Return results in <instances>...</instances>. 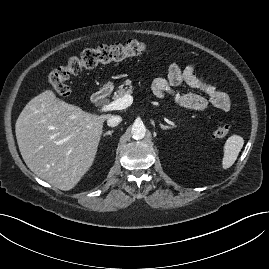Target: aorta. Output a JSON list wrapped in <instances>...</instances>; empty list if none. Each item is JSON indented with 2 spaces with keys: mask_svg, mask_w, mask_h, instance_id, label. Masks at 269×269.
Segmentation results:
<instances>
[{
  "mask_svg": "<svg viewBox=\"0 0 269 269\" xmlns=\"http://www.w3.org/2000/svg\"><path fill=\"white\" fill-rule=\"evenodd\" d=\"M132 137L136 140L143 139L146 134V127L142 122H135L131 129Z\"/></svg>",
  "mask_w": 269,
  "mask_h": 269,
  "instance_id": "1",
  "label": "aorta"
}]
</instances>
